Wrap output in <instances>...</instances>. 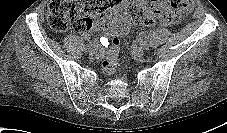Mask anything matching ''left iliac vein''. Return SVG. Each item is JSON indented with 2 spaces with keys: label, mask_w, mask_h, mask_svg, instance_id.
Here are the masks:
<instances>
[{
  "label": "left iliac vein",
  "mask_w": 227,
  "mask_h": 133,
  "mask_svg": "<svg viewBox=\"0 0 227 133\" xmlns=\"http://www.w3.org/2000/svg\"><path fill=\"white\" fill-rule=\"evenodd\" d=\"M132 54L136 59H142L144 57L145 51L142 48H134Z\"/></svg>",
  "instance_id": "4c4485c4"
}]
</instances>
